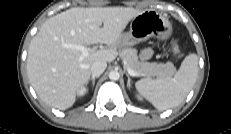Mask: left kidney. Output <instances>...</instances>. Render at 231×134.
Instances as JSON below:
<instances>
[{"mask_svg": "<svg viewBox=\"0 0 231 134\" xmlns=\"http://www.w3.org/2000/svg\"><path fill=\"white\" fill-rule=\"evenodd\" d=\"M138 100H142V98L140 96H137Z\"/></svg>", "mask_w": 231, "mask_h": 134, "instance_id": "1", "label": "left kidney"}]
</instances>
